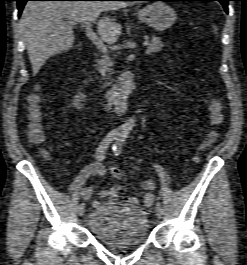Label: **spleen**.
Listing matches in <instances>:
<instances>
[{
  "label": "spleen",
  "mask_w": 247,
  "mask_h": 265,
  "mask_svg": "<svg viewBox=\"0 0 247 265\" xmlns=\"http://www.w3.org/2000/svg\"><path fill=\"white\" fill-rule=\"evenodd\" d=\"M214 27V30L216 31V27L215 26H213ZM216 33V32H215Z\"/></svg>",
  "instance_id": "3e777b00"
}]
</instances>
